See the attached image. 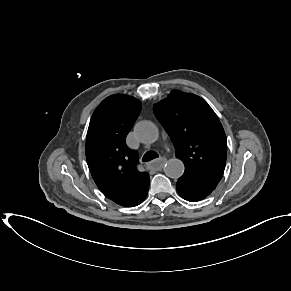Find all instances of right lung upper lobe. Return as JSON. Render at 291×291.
Listing matches in <instances>:
<instances>
[{
    "mask_svg": "<svg viewBox=\"0 0 291 291\" xmlns=\"http://www.w3.org/2000/svg\"><path fill=\"white\" fill-rule=\"evenodd\" d=\"M141 102L124 94L104 99L95 109L86 137V159L100 191L122 206H136L148 193L149 175L136 168L138 154L125 143Z\"/></svg>",
    "mask_w": 291,
    "mask_h": 291,
    "instance_id": "right-lung-upper-lobe-1",
    "label": "right lung upper lobe"
}]
</instances>
